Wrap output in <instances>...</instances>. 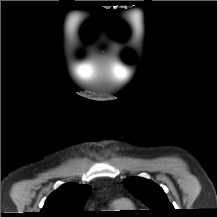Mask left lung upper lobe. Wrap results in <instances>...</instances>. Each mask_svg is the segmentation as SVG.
<instances>
[{"label": "left lung upper lobe", "instance_id": "5c2ea615", "mask_svg": "<svg viewBox=\"0 0 217 217\" xmlns=\"http://www.w3.org/2000/svg\"><path fill=\"white\" fill-rule=\"evenodd\" d=\"M125 187L146 206L150 217H172L175 214L173 205L169 202L163 189L151 180L140 177H130L123 180Z\"/></svg>", "mask_w": 217, "mask_h": 217}]
</instances>
